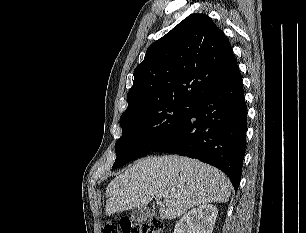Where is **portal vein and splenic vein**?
Listing matches in <instances>:
<instances>
[{"instance_id":"1","label":"portal vein and splenic vein","mask_w":306,"mask_h":233,"mask_svg":"<svg viewBox=\"0 0 306 233\" xmlns=\"http://www.w3.org/2000/svg\"><path fill=\"white\" fill-rule=\"evenodd\" d=\"M161 197L160 196H156V199L159 200ZM167 201V200H166Z\"/></svg>"}]
</instances>
